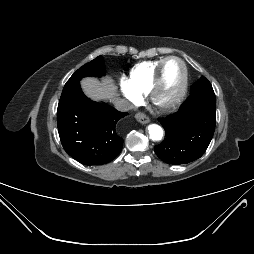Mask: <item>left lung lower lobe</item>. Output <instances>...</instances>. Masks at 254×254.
<instances>
[{"label":"left lung lower lobe","mask_w":254,"mask_h":254,"mask_svg":"<svg viewBox=\"0 0 254 254\" xmlns=\"http://www.w3.org/2000/svg\"><path fill=\"white\" fill-rule=\"evenodd\" d=\"M165 139L154 147L168 164H186L200 158L213 137L216 98L188 97L177 113L159 118Z\"/></svg>","instance_id":"1"}]
</instances>
